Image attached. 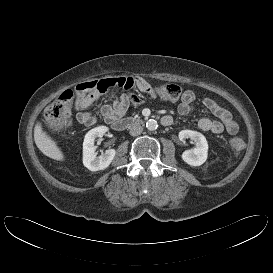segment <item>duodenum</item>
I'll return each instance as SVG.
<instances>
[{
  "instance_id": "1",
  "label": "duodenum",
  "mask_w": 273,
  "mask_h": 273,
  "mask_svg": "<svg viewBox=\"0 0 273 273\" xmlns=\"http://www.w3.org/2000/svg\"><path fill=\"white\" fill-rule=\"evenodd\" d=\"M161 123L164 126H168L171 124V121L168 118H161ZM109 124L115 130L122 131L128 129L132 126H137L143 124V120L141 118L128 117V118H116L110 120Z\"/></svg>"
}]
</instances>
